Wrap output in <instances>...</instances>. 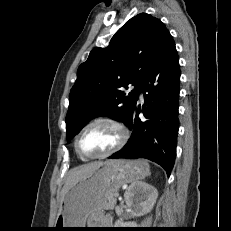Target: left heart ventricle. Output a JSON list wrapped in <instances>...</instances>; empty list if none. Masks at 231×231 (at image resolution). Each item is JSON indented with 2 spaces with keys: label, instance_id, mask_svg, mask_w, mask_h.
<instances>
[{
  "label": "left heart ventricle",
  "instance_id": "b2bd125f",
  "mask_svg": "<svg viewBox=\"0 0 231 231\" xmlns=\"http://www.w3.org/2000/svg\"><path fill=\"white\" fill-rule=\"evenodd\" d=\"M118 140L119 133L115 127L107 123H98L83 132L79 148L84 155H98L114 147Z\"/></svg>",
  "mask_w": 231,
  "mask_h": 231
}]
</instances>
